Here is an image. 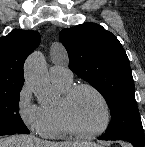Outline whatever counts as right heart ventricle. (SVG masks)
<instances>
[{
  "instance_id": "e07e8e85",
  "label": "right heart ventricle",
  "mask_w": 145,
  "mask_h": 147,
  "mask_svg": "<svg viewBox=\"0 0 145 147\" xmlns=\"http://www.w3.org/2000/svg\"><path fill=\"white\" fill-rule=\"evenodd\" d=\"M60 95H63L72 85L73 81L52 80ZM59 101L41 106L43 114V126L41 134L47 138H64L71 134L64 125L59 108Z\"/></svg>"
}]
</instances>
